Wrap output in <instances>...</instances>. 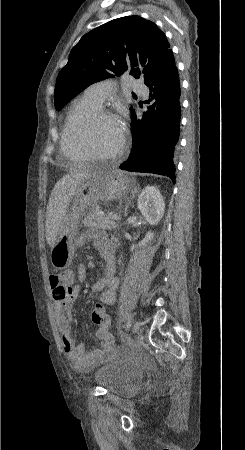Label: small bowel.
I'll return each instance as SVG.
<instances>
[{"label": "small bowel", "mask_w": 245, "mask_h": 450, "mask_svg": "<svg viewBox=\"0 0 245 450\" xmlns=\"http://www.w3.org/2000/svg\"><path fill=\"white\" fill-rule=\"evenodd\" d=\"M93 242L99 251L101 258L108 261L104 275L93 285L100 301L111 306L115 302V292L119 285V280L115 276V250L116 241L109 234H99L93 231H86L79 235L77 243L81 246ZM86 270L80 266L76 273L78 281L86 279ZM75 276L72 272L67 275L51 274L49 285L54 303V317L60 332L61 344L72 367L78 371L90 370L99 359L107 352L113 343V335L109 328L98 327L97 336L102 340L100 348L86 350L84 345H75L72 336L71 313L74 304L80 293V286L74 282Z\"/></svg>", "instance_id": "obj_1"}]
</instances>
